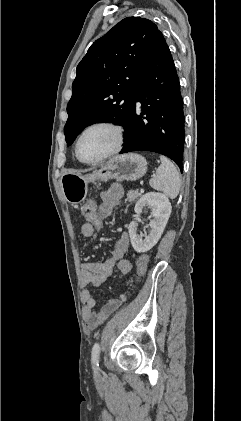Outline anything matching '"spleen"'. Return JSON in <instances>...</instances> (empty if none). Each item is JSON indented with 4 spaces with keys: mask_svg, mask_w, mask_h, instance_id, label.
Listing matches in <instances>:
<instances>
[{
    "mask_svg": "<svg viewBox=\"0 0 241 421\" xmlns=\"http://www.w3.org/2000/svg\"><path fill=\"white\" fill-rule=\"evenodd\" d=\"M161 165L156 170V175L150 179V186L163 192L167 197L175 199L180 190L181 180L175 165L165 156H160Z\"/></svg>",
    "mask_w": 241,
    "mask_h": 421,
    "instance_id": "3e777b00",
    "label": "spleen"
}]
</instances>
